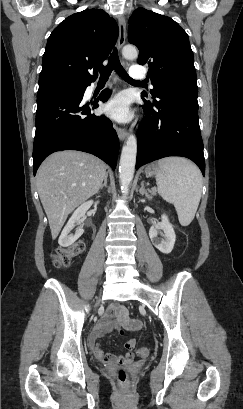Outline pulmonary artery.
Here are the masks:
<instances>
[{
    "instance_id": "e3ab8cb5",
    "label": "pulmonary artery",
    "mask_w": 243,
    "mask_h": 409,
    "mask_svg": "<svg viewBox=\"0 0 243 409\" xmlns=\"http://www.w3.org/2000/svg\"><path fill=\"white\" fill-rule=\"evenodd\" d=\"M131 77L133 79H143L145 77V73L143 70L138 69V67H135L134 69L131 70Z\"/></svg>"
}]
</instances>
